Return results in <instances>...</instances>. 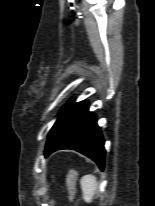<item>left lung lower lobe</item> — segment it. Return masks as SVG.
Segmentation results:
<instances>
[{
  "mask_svg": "<svg viewBox=\"0 0 155 206\" xmlns=\"http://www.w3.org/2000/svg\"><path fill=\"white\" fill-rule=\"evenodd\" d=\"M61 149L76 150L104 169V139L93 112L87 111L65 135L45 149V156Z\"/></svg>",
  "mask_w": 155,
  "mask_h": 206,
  "instance_id": "1",
  "label": "left lung lower lobe"
}]
</instances>
